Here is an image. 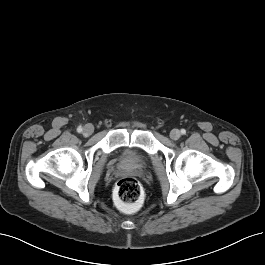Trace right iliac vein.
Segmentation results:
<instances>
[{
  "label": "right iliac vein",
  "instance_id": "right-iliac-vein-1",
  "mask_svg": "<svg viewBox=\"0 0 265 265\" xmlns=\"http://www.w3.org/2000/svg\"><path fill=\"white\" fill-rule=\"evenodd\" d=\"M94 131V127L91 124H87L83 128V134L85 136H90Z\"/></svg>",
  "mask_w": 265,
  "mask_h": 265
}]
</instances>
